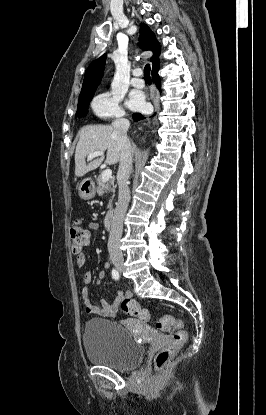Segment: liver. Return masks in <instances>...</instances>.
<instances>
[{
  "label": "liver",
  "instance_id": "1",
  "mask_svg": "<svg viewBox=\"0 0 266 415\" xmlns=\"http://www.w3.org/2000/svg\"><path fill=\"white\" fill-rule=\"evenodd\" d=\"M105 163L116 164L120 160V149L111 125H86L79 131V141L75 151V175L82 177L98 168L104 157L94 159L86 164L85 158L95 151H106Z\"/></svg>",
  "mask_w": 266,
  "mask_h": 415
}]
</instances>
